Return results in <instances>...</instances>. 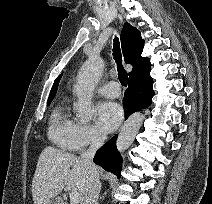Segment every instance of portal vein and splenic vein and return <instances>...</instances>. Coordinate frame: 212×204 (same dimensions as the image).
Here are the masks:
<instances>
[{"label":"portal vein and splenic vein","mask_w":212,"mask_h":204,"mask_svg":"<svg viewBox=\"0 0 212 204\" xmlns=\"http://www.w3.org/2000/svg\"><path fill=\"white\" fill-rule=\"evenodd\" d=\"M81 196L77 191L70 193V202L71 204H78L80 202Z\"/></svg>","instance_id":"1"}]
</instances>
